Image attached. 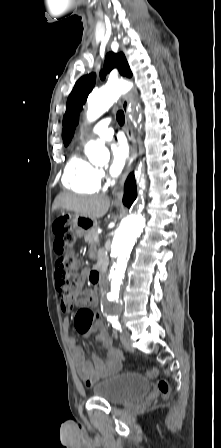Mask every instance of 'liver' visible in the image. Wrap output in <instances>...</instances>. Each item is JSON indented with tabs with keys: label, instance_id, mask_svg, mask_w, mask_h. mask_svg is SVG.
Returning a JSON list of instances; mask_svg holds the SVG:
<instances>
[{
	"label": "liver",
	"instance_id": "6515ba94",
	"mask_svg": "<svg viewBox=\"0 0 221 448\" xmlns=\"http://www.w3.org/2000/svg\"><path fill=\"white\" fill-rule=\"evenodd\" d=\"M109 207L110 199L104 195L77 196L70 193H61L53 203V210L73 211L94 221L103 217Z\"/></svg>",
	"mask_w": 221,
	"mask_h": 448
}]
</instances>
